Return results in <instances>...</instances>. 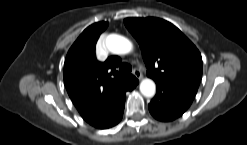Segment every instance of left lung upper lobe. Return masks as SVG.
<instances>
[{
    "label": "left lung upper lobe",
    "instance_id": "obj_1",
    "mask_svg": "<svg viewBox=\"0 0 247 145\" xmlns=\"http://www.w3.org/2000/svg\"><path fill=\"white\" fill-rule=\"evenodd\" d=\"M124 23L141 47L147 76L195 96L202 77V57L194 44L173 24L159 18H126Z\"/></svg>",
    "mask_w": 247,
    "mask_h": 145
}]
</instances>
